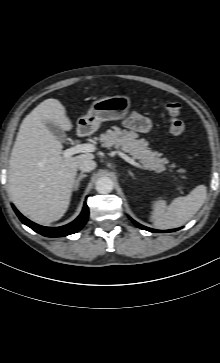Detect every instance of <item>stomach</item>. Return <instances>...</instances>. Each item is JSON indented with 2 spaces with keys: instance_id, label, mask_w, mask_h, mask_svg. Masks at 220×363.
Here are the masks:
<instances>
[{
  "instance_id": "0dacf381",
  "label": "stomach",
  "mask_w": 220,
  "mask_h": 363,
  "mask_svg": "<svg viewBox=\"0 0 220 363\" xmlns=\"http://www.w3.org/2000/svg\"><path fill=\"white\" fill-rule=\"evenodd\" d=\"M131 97L128 95H116L95 101L85 116L78 119L79 129L95 132L104 121L123 119L130 107Z\"/></svg>"
}]
</instances>
